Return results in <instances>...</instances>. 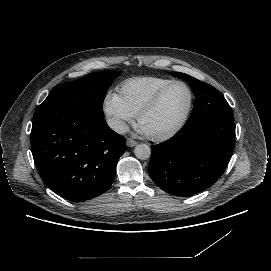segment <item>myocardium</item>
Here are the masks:
<instances>
[{
  "mask_svg": "<svg viewBox=\"0 0 271 271\" xmlns=\"http://www.w3.org/2000/svg\"><path fill=\"white\" fill-rule=\"evenodd\" d=\"M179 83L186 85L190 90L191 100H190L189 107H188L184 117L173 129L169 130L166 133H162V134H158V135H149V137L154 141L164 142V141L170 140L173 137H175L184 128V126L188 122V120L192 114V111L194 109V106H195L196 93H195L193 86L189 82H187L185 80H181V79L171 81L170 83L165 85L153 97V99L142 109V111L138 115L137 120H138V123L140 124L144 118H146L149 114H151L159 106L160 102L162 101L165 94L169 91V89Z\"/></svg>",
  "mask_w": 271,
  "mask_h": 271,
  "instance_id": "myocardium-1",
  "label": "myocardium"
}]
</instances>
